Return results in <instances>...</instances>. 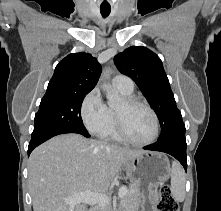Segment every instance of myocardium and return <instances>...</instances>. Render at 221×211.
<instances>
[{
	"label": "myocardium",
	"mask_w": 221,
	"mask_h": 211,
	"mask_svg": "<svg viewBox=\"0 0 221 211\" xmlns=\"http://www.w3.org/2000/svg\"><path fill=\"white\" fill-rule=\"evenodd\" d=\"M124 101L128 106H143L150 112V114L153 117V121H154V133H153V136L147 141H144V142L135 141L127 133L121 115L117 111H115L117 132H118L120 138L123 141H125L126 143H129L134 146L144 147V146L151 145L152 143H154L156 141V139L159 136V119H158V116H157L155 110L146 101H143V100L136 98V97H131V96L126 97Z\"/></svg>",
	"instance_id": "1"
}]
</instances>
